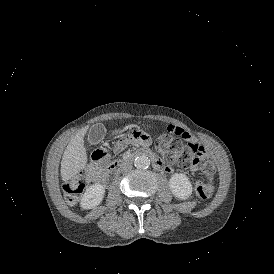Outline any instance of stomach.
Returning <instances> with one entry per match:
<instances>
[{"label":"stomach","instance_id":"0dacf381","mask_svg":"<svg viewBox=\"0 0 274 274\" xmlns=\"http://www.w3.org/2000/svg\"><path fill=\"white\" fill-rule=\"evenodd\" d=\"M115 133L117 134V133H119V131H115Z\"/></svg>","mask_w":274,"mask_h":274}]
</instances>
